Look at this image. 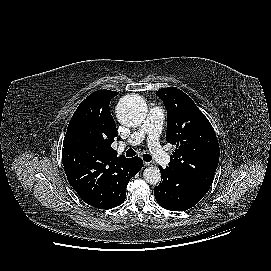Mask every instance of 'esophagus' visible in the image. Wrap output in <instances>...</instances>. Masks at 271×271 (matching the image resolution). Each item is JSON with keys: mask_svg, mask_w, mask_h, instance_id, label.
Masks as SVG:
<instances>
[{"mask_svg": "<svg viewBox=\"0 0 271 271\" xmlns=\"http://www.w3.org/2000/svg\"><path fill=\"white\" fill-rule=\"evenodd\" d=\"M144 166H147V167L152 166V163L151 162H144Z\"/></svg>", "mask_w": 271, "mask_h": 271, "instance_id": "obj_1", "label": "esophagus"}]
</instances>
